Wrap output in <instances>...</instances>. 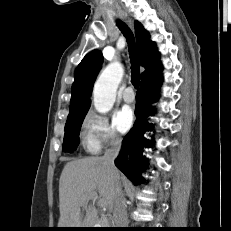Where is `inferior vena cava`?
Segmentation results:
<instances>
[{
	"label": "inferior vena cava",
	"mask_w": 231,
	"mask_h": 231,
	"mask_svg": "<svg viewBox=\"0 0 231 231\" xmlns=\"http://www.w3.org/2000/svg\"><path fill=\"white\" fill-rule=\"evenodd\" d=\"M122 138L119 135H114L111 140V147L106 150L102 160L107 166L108 172L114 175L117 171L114 160L118 156L121 149ZM113 217L116 228H125L128 224V218L126 213L125 197L122 192L121 183L117 178H114V207Z\"/></svg>",
	"instance_id": "inferior-vena-cava-1"
}]
</instances>
